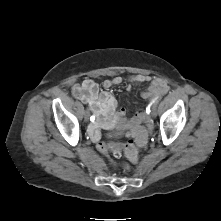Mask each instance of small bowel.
<instances>
[{
    "mask_svg": "<svg viewBox=\"0 0 221 221\" xmlns=\"http://www.w3.org/2000/svg\"><path fill=\"white\" fill-rule=\"evenodd\" d=\"M129 81L132 85L149 82V87L142 93L145 99H154L165 94L168 91V83L162 78H151L143 74H135L130 76ZM123 81L122 77L114 76L105 79L103 86L108 89L112 86L119 85ZM72 94L79 100L87 103L92 112L96 115V122L89 127V135L94 141H98L101 137V130H110L117 123L124 120L126 110L119 108L117 100L108 91L99 92L96 82L91 79L83 81L81 84H76L72 88ZM144 118V113L139 112L133 119V124H141Z\"/></svg>",
    "mask_w": 221,
    "mask_h": 221,
    "instance_id": "1",
    "label": "small bowel"
}]
</instances>
